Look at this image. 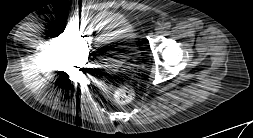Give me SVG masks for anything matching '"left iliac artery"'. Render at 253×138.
I'll return each mask as SVG.
<instances>
[{
  "instance_id": "44dca946",
  "label": "left iliac artery",
  "mask_w": 253,
  "mask_h": 138,
  "mask_svg": "<svg viewBox=\"0 0 253 138\" xmlns=\"http://www.w3.org/2000/svg\"><path fill=\"white\" fill-rule=\"evenodd\" d=\"M170 27H171V23L170 22L165 23V25H164L165 29H170Z\"/></svg>"
}]
</instances>
